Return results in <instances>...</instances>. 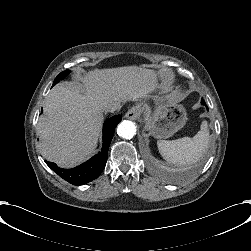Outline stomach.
<instances>
[{"mask_svg":"<svg viewBox=\"0 0 251 251\" xmlns=\"http://www.w3.org/2000/svg\"><path fill=\"white\" fill-rule=\"evenodd\" d=\"M147 107V105L142 107L140 116H143L145 129L155 138H169L186 124L187 114L184 106L165 96L153 98V105L150 108L152 112L149 117L146 116Z\"/></svg>","mask_w":251,"mask_h":251,"instance_id":"0dacf381","label":"stomach"}]
</instances>
